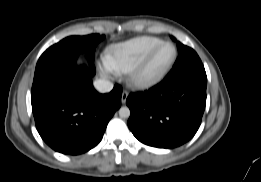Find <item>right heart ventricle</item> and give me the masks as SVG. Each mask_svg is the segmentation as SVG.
<instances>
[{"label":"right heart ventricle","instance_id":"e07e8e85","mask_svg":"<svg viewBox=\"0 0 261 182\" xmlns=\"http://www.w3.org/2000/svg\"><path fill=\"white\" fill-rule=\"evenodd\" d=\"M161 42L153 36L136 37L111 46L106 60L113 70L126 73Z\"/></svg>","mask_w":261,"mask_h":182}]
</instances>
